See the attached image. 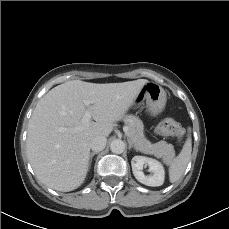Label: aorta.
<instances>
[{
    "mask_svg": "<svg viewBox=\"0 0 229 229\" xmlns=\"http://www.w3.org/2000/svg\"><path fill=\"white\" fill-rule=\"evenodd\" d=\"M110 149L115 154H121L125 150V143L120 139H115L111 142Z\"/></svg>",
    "mask_w": 229,
    "mask_h": 229,
    "instance_id": "aorta-1",
    "label": "aorta"
}]
</instances>
